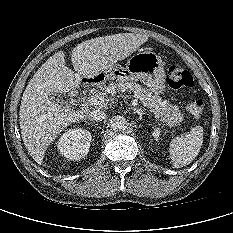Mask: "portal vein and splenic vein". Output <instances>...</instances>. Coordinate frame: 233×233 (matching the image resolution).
Returning <instances> with one entry per match:
<instances>
[{"mask_svg": "<svg viewBox=\"0 0 233 233\" xmlns=\"http://www.w3.org/2000/svg\"><path fill=\"white\" fill-rule=\"evenodd\" d=\"M106 101L105 96L101 95V94H95L92 95L91 97H89L88 102L91 105H101ZM132 105L136 106L138 105V101L136 99L132 100Z\"/></svg>", "mask_w": 233, "mask_h": 233, "instance_id": "obj_1", "label": "portal vein and splenic vein"}]
</instances>
